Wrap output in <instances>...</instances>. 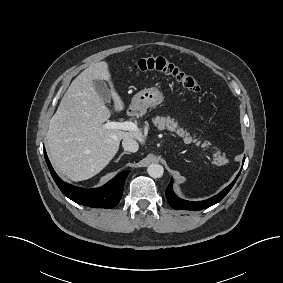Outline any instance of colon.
Returning a JSON list of instances; mask_svg holds the SVG:
<instances>
[{
  "label": "colon",
  "instance_id": "obj_1",
  "mask_svg": "<svg viewBox=\"0 0 283 283\" xmlns=\"http://www.w3.org/2000/svg\"><path fill=\"white\" fill-rule=\"evenodd\" d=\"M140 72H159L173 77L184 89L195 94H204L203 88L191 75L162 57H144L134 64Z\"/></svg>",
  "mask_w": 283,
  "mask_h": 283
}]
</instances>
